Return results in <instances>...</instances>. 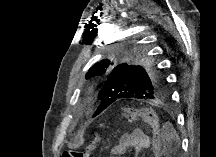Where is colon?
I'll return each instance as SVG.
<instances>
[{"mask_svg": "<svg viewBox=\"0 0 216 157\" xmlns=\"http://www.w3.org/2000/svg\"><path fill=\"white\" fill-rule=\"evenodd\" d=\"M122 114L123 117L129 121L145 123L154 133L159 129V119L152 109H127L124 110ZM99 140V135H95L89 145L83 150L67 149L63 152V157H89L90 153L96 148Z\"/></svg>", "mask_w": 216, "mask_h": 157, "instance_id": "5ec220e1", "label": "colon"}]
</instances>
